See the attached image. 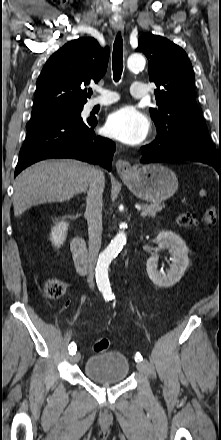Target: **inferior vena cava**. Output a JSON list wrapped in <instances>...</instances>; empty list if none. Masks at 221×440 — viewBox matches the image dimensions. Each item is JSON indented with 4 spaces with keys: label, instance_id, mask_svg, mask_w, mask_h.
Masks as SVG:
<instances>
[{
    "label": "inferior vena cava",
    "instance_id": "obj_1",
    "mask_svg": "<svg viewBox=\"0 0 221 440\" xmlns=\"http://www.w3.org/2000/svg\"><path fill=\"white\" fill-rule=\"evenodd\" d=\"M104 190V174L101 170H93L86 199L85 217L88 222L89 271L88 283L93 287L94 268L102 241V194Z\"/></svg>",
    "mask_w": 221,
    "mask_h": 440
}]
</instances>
